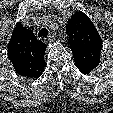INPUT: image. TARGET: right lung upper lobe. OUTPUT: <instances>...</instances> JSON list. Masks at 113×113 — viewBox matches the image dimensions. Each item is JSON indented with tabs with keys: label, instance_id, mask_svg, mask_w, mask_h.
<instances>
[{
	"label": "right lung upper lobe",
	"instance_id": "cb5924a9",
	"mask_svg": "<svg viewBox=\"0 0 113 113\" xmlns=\"http://www.w3.org/2000/svg\"><path fill=\"white\" fill-rule=\"evenodd\" d=\"M46 45L37 40L33 31L18 23L8 44V56L15 71L26 77L39 78L44 70Z\"/></svg>",
	"mask_w": 113,
	"mask_h": 113
}]
</instances>
